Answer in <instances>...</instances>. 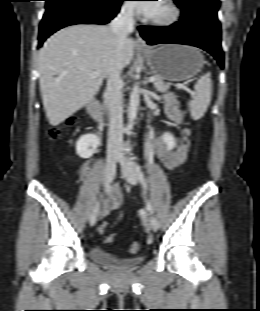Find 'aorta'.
<instances>
[{
	"label": "aorta",
	"instance_id": "aorta-1",
	"mask_svg": "<svg viewBox=\"0 0 260 311\" xmlns=\"http://www.w3.org/2000/svg\"><path fill=\"white\" fill-rule=\"evenodd\" d=\"M139 103H140L139 90L136 85L130 94V102L128 108L129 128L132 127V123L136 119Z\"/></svg>",
	"mask_w": 260,
	"mask_h": 311
}]
</instances>
